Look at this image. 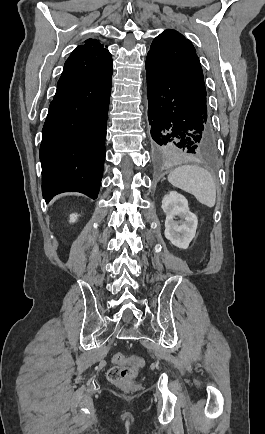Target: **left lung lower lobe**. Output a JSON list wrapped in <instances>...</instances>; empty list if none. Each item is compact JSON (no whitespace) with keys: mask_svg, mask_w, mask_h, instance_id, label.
<instances>
[{"mask_svg":"<svg viewBox=\"0 0 265 434\" xmlns=\"http://www.w3.org/2000/svg\"><path fill=\"white\" fill-rule=\"evenodd\" d=\"M150 142L157 154L177 148L187 153H212L216 136L207 105L156 60L147 56Z\"/></svg>","mask_w":265,"mask_h":434,"instance_id":"obj_1","label":"left lung lower lobe"}]
</instances>
